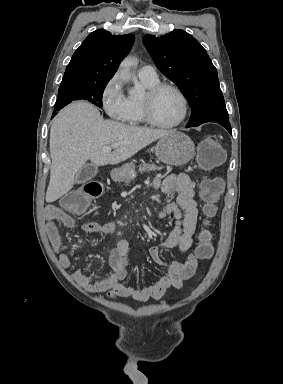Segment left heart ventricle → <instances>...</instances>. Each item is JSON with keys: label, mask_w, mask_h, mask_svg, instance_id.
<instances>
[{"label": "left heart ventricle", "mask_w": 283, "mask_h": 384, "mask_svg": "<svg viewBox=\"0 0 283 384\" xmlns=\"http://www.w3.org/2000/svg\"><path fill=\"white\" fill-rule=\"evenodd\" d=\"M182 113V103L171 90L161 91L152 102V114L162 124H171L179 119Z\"/></svg>", "instance_id": "left-heart-ventricle-1"}]
</instances>
